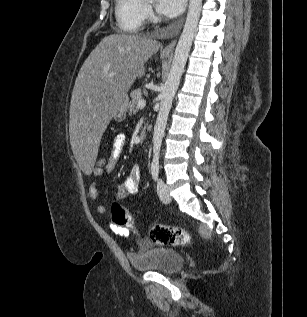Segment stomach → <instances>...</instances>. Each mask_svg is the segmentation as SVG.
Masks as SVG:
<instances>
[{
    "instance_id": "obj_1",
    "label": "stomach",
    "mask_w": 307,
    "mask_h": 317,
    "mask_svg": "<svg viewBox=\"0 0 307 317\" xmlns=\"http://www.w3.org/2000/svg\"><path fill=\"white\" fill-rule=\"evenodd\" d=\"M127 103H128V97H125L123 101L118 105V108L113 115L114 119L118 122L123 121L126 118V112H127Z\"/></svg>"
}]
</instances>
